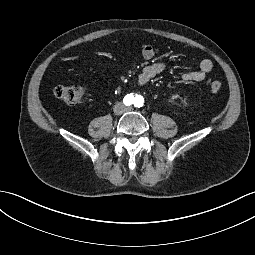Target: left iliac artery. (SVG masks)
Masks as SVG:
<instances>
[{
    "label": "left iliac artery",
    "mask_w": 255,
    "mask_h": 255,
    "mask_svg": "<svg viewBox=\"0 0 255 255\" xmlns=\"http://www.w3.org/2000/svg\"><path fill=\"white\" fill-rule=\"evenodd\" d=\"M142 103L143 102H142V100L140 98H136L134 104H135L136 107H141L143 105Z\"/></svg>",
    "instance_id": "obj_1"
}]
</instances>
